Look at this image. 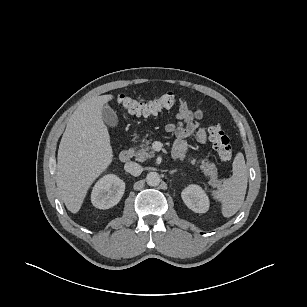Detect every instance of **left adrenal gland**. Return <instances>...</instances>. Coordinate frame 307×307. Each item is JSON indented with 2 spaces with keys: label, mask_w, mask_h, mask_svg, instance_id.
I'll list each match as a JSON object with an SVG mask.
<instances>
[{
  "label": "left adrenal gland",
  "mask_w": 307,
  "mask_h": 307,
  "mask_svg": "<svg viewBox=\"0 0 307 307\" xmlns=\"http://www.w3.org/2000/svg\"><path fill=\"white\" fill-rule=\"evenodd\" d=\"M175 172H177V170H171V171H169V174H174Z\"/></svg>",
  "instance_id": "left-adrenal-gland-1"
}]
</instances>
